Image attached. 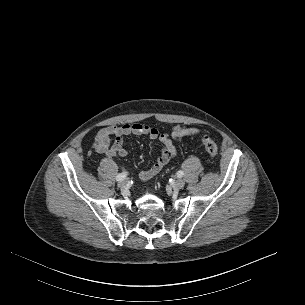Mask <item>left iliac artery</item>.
<instances>
[{"label": "left iliac artery", "mask_w": 305, "mask_h": 305, "mask_svg": "<svg viewBox=\"0 0 305 305\" xmlns=\"http://www.w3.org/2000/svg\"><path fill=\"white\" fill-rule=\"evenodd\" d=\"M183 175H184L183 171L179 170V171L177 172V176H178L179 178L182 177Z\"/></svg>", "instance_id": "left-iliac-artery-1"}]
</instances>
